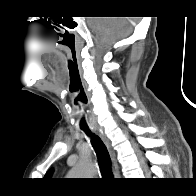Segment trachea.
<instances>
[{
    "label": "trachea",
    "mask_w": 196,
    "mask_h": 196,
    "mask_svg": "<svg viewBox=\"0 0 196 196\" xmlns=\"http://www.w3.org/2000/svg\"><path fill=\"white\" fill-rule=\"evenodd\" d=\"M82 130L85 131L87 135L92 137L91 144L96 152L98 158V164L102 176L105 179H113V173L111 169V159L105 144L98 136L92 134L89 128H82Z\"/></svg>",
    "instance_id": "3493384b"
}]
</instances>
